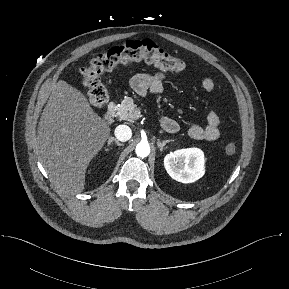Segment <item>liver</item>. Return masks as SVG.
Returning <instances> with one entry per match:
<instances>
[{
    "instance_id": "6515ba94",
    "label": "liver",
    "mask_w": 289,
    "mask_h": 289,
    "mask_svg": "<svg viewBox=\"0 0 289 289\" xmlns=\"http://www.w3.org/2000/svg\"><path fill=\"white\" fill-rule=\"evenodd\" d=\"M110 132L81 91L58 81L37 130L36 150L50 181L67 194L81 193L86 169Z\"/></svg>"
}]
</instances>
